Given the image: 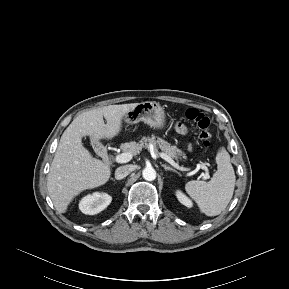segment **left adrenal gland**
Masks as SVG:
<instances>
[{
	"label": "left adrenal gland",
	"instance_id": "obj_1",
	"mask_svg": "<svg viewBox=\"0 0 289 289\" xmlns=\"http://www.w3.org/2000/svg\"><path fill=\"white\" fill-rule=\"evenodd\" d=\"M162 167H164V169L166 171H173L175 173H178L175 169L171 168L170 166L166 165V164H161ZM179 174V173H178Z\"/></svg>",
	"mask_w": 289,
	"mask_h": 289
}]
</instances>
